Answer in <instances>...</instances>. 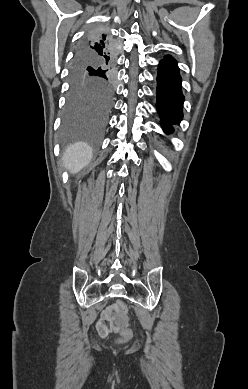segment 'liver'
Segmentation results:
<instances>
[{
    "mask_svg": "<svg viewBox=\"0 0 248 389\" xmlns=\"http://www.w3.org/2000/svg\"><path fill=\"white\" fill-rule=\"evenodd\" d=\"M91 159L92 149L83 142L70 145L63 154L64 167L73 174L87 166Z\"/></svg>",
    "mask_w": 248,
    "mask_h": 389,
    "instance_id": "liver-1",
    "label": "liver"
}]
</instances>
